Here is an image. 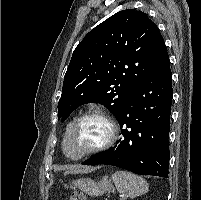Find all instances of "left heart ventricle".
Wrapping results in <instances>:
<instances>
[{"label": "left heart ventricle", "instance_id": "1", "mask_svg": "<svg viewBox=\"0 0 201 200\" xmlns=\"http://www.w3.org/2000/svg\"><path fill=\"white\" fill-rule=\"evenodd\" d=\"M107 135L106 125L97 118L80 122L70 134L69 153L77 156L102 143Z\"/></svg>", "mask_w": 201, "mask_h": 200}]
</instances>
